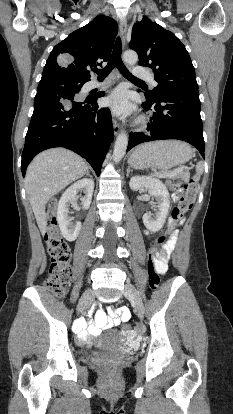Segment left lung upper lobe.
<instances>
[{"instance_id":"left-lung-upper-lobe-1","label":"left lung upper lobe","mask_w":233,"mask_h":414,"mask_svg":"<svg viewBox=\"0 0 233 414\" xmlns=\"http://www.w3.org/2000/svg\"><path fill=\"white\" fill-rule=\"evenodd\" d=\"M130 48L139 56V65L153 69L158 86L145 96L156 100L160 95L180 90H198L195 70L182 42L170 31L147 17L132 29Z\"/></svg>"}]
</instances>
